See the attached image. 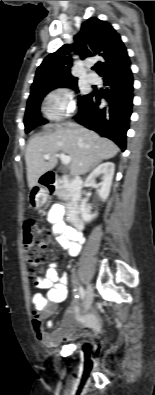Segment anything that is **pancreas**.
<instances>
[{"label": "pancreas", "instance_id": "obj_1", "mask_svg": "<svg viewBox=\"0 0 155 395\" xmlns=\"http://www.w3.org/2000/svg\"><path fill=\"white\" fill-rule=\"evenodd\" d=\"M56 194H57L58 198L61 200H65L68 197V192L66 189H60L57 191Z\"/></svg>", "mask_w": 155, "mask_h": 395}]
</instances>
